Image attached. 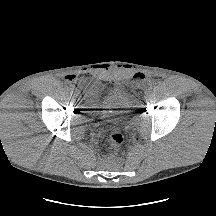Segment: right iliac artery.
<instances>
[{"mask_svg": "<svg viewBox=\"0 0 216 216\" xmlns=\"http://www.w3.org/2000/svg\"><path fill=\"white\" fill-rule=\"evenodd\" d=\"M69 91H70V92H73V91H74V87H73V86H70V87H69Z\"/></svg>", "mask_w": 216, "mask_h": 216, "instance_id": "1", "label": "right iliac artery"}]
</instances>
